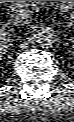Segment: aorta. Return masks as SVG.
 <instances>
[{"label":"aorta","mask_w":74,"mask_h":122,"mask_svg":"<svg viewBox=\"0 0 74 122\" xmlns=\"http://www.w3.org/2000/svg\"><path fill=\"white\" fill-rule=\"evenodd\" d=\"M57 41V35L53 29L42 28L37 33V43L42 48H50Z\"/></svg>","instance_id":"1"}]
</instances>
